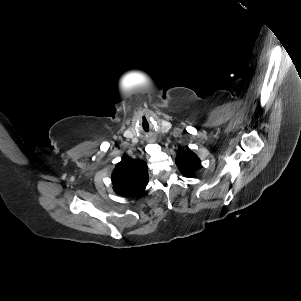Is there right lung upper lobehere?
I'll use <instances>...</instances> for the list:
<instances>
[{
	"label": "right lung upper lobe",
	"mask_w": 301,
	"mask_h": 301,
	"mask_svg": "<svg viewBox=\"0 0 301 301\" xmlns=\"http://www.w3.org/2000/svg\"><path fill=\"white\" fill-rule=\"evenodd\" d=\"M147 164L142 160L122 158L113 173L114 191L123 197L140 196L148 184Z\"/></svg>",
	"instance_id": "1"
}]
</instances>
